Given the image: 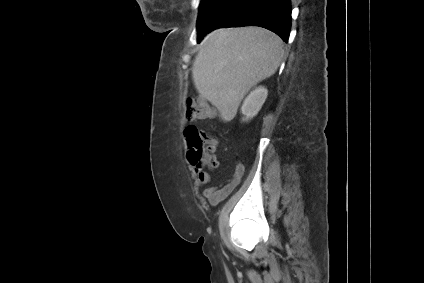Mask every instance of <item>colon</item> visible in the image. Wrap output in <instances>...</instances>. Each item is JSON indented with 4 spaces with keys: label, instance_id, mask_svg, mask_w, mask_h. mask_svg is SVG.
Wrapping results in <instances>:
<instances>
[{
    "label": "colon",
    "instance_id": "5ec220e1",
    "mask_svg": "<svg viewBox=\"0 0 424 283\" xmlns=\"http://www.w3.org/2000/svg\"><path fill=\"white\" fill-rule=\"evenodd\" d=\"M211 114L208 104L201 99H190L187 102L186 116L189 120L205 119ZM186 137L190 145L189 161L192 163L207 164L210 167L217 166L215 150L217 139L207 133L190 126L186 130Z\"/></svg>",
    "mask_w": 424,
    "mask_h": 283
}]
</instances>
